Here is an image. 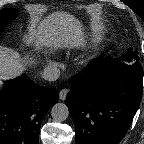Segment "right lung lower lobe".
<instances>
[{"label":"right lung lower lobe","instance_id":"98d812e1","mask_svg":"<svg viewBox=\"0 0 144 144\" xmlns=\"http://www.w3.org/2000/svg\"><path fill=\"white\" fill-rule=\"evenodd\" d=\"M59 93L21 77L0 93V144H38L41 123Z\"/></svg>","mask_w":144,"mask_h":144}]
</instances>
